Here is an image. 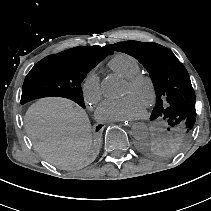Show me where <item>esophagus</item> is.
<instances>
[{
  "label": "esophagus",
  "mask_w": 211,
  "mask_h": 211,
  "mask_svg": "<svg viewBox=\"0 0 211 211\" xmlns=\"http://www.w3.org/2000/svg\"><path fill=\"white\" fill-rule=\"evenodd\" d=\"M116 125L118 127H130L132 125V122L130 120H118L116 122Z\"/></svg>",
  "instance_id": "esophagus-1"
}]
</instances>
